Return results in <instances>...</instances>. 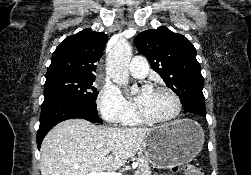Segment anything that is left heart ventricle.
<instances>
[{"instance_id":"1","label":"left heart ventricle","mask_w":251,"mask_h":175,"mask_svg":"<svg viewBox=\"0 0 251 175\" xmlns=\"http://www.w3.org/2000/svg\"><path fill=\"white\" fill-rule=\"evenodd\" d=\"M138 109L152 117L167 120L176 115L177 105L173 96L166 91L153 90L149 100H142V92L136 95Z\"/></svg>"}]
</instances>
